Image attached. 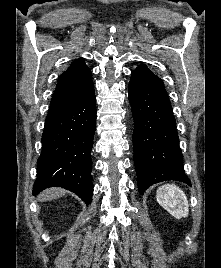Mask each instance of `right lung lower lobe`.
Returning <instances> with one entry per match:
<instances>
[{
	"label": "right lung lower lobe",
	"mask_w": 221,
	"mask_h": 268,
	"mask_svg": "<svg viewBox=\"0 0 221 268\" xmlns=\"http://www.w3.org/2000/svg\"><path fill=\"white\" fill-rule=\"evenodd\" d=\"M96 125L94 90L72 103L50 106L42 134L33 195L62 187L87 205L93 194L91 150Z\"/></svg>",
	"instance_id": "right-lung-lower-lobe-1"
}]
</instances>
